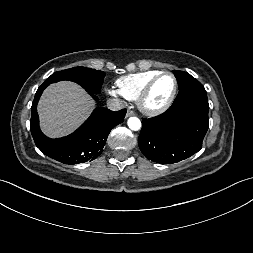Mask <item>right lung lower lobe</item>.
<instances>
[{
	"label": "right lung lower lobe",
	"instance_id": "obj_1",
	"mask_svg": "<svg viewBox=\"0 0 253 253\" xmlns=\"http://www.w3.org/2000/svg\"><path fill=\"white\" fill-rule=\"evenodd\" d=\"M49 85L44 82L37 90L32 103L30 129L36 146L47 156L64 164H78L92 161L102 152L112 128L124 121L126 109L113 112L98 107L91 116L69 136L50 139L39 128L37 103L43 90ZM96 100L95 94H91Z\"/></svg>",
	"mask_w": 253,
	"mask_h": 253
}]
</instances>
